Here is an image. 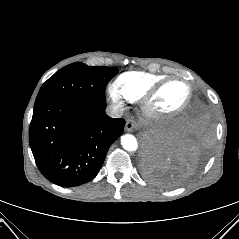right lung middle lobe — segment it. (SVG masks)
Returning <instances> with one entry per match:
<instances>
[{"label": "right lung middle lobe", "instance_id": "obj_1", "mask_svg": "<svg viewBox=\"0 0 239 239\" xmlns=\"http://www.w3.org/2000/svg\"><path fill=\"white\" fill-rule=\"evenodd\" d=\"M117 69L87 66L76 62L51 76L41 87L35 104L57 99H76L106 102L105 87Z\"/></svg>", "mask_w": 239, "mask_h": 239}]
</instances>
